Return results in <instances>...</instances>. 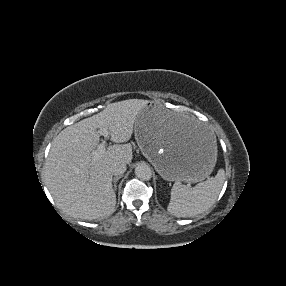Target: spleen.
<instances>
[{
  "mask_svg": "<svg viewBox=\"0 0 286 286\" xmlns=\"http://www.w3.org/2000/svg\"><path fill=\"white\" fill-rule=\"evenodd\" d=\"M225 180V171L219 169L215 177L189 188L176 181L171 189L167 210L177 217H191L208 210L217 200Z\"/></svg>",
  "mask_w": 286,
  "mask_h": 286,
  "instance_id": "obj_1",
  "label": "spleen"
}]
</instances>
